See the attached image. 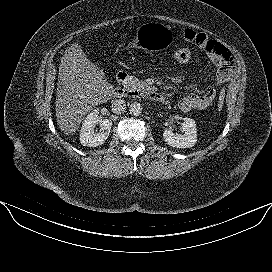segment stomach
Masks as SVG:
<instances>
[{
	"label": "stomach",
	"mask_w": 272,
	"mask_h": 272,
	"mask_svg": "<svg viewBox=\"0 0 272 272\" xmlns=\"http://www.w3.org/2000/svg\"><path fill=\"white\" fill-rule=\"evenodd\" d=\"M172 38L169 26L158 22H148L137 28L131 47L147 51H157L167 47L171 43Z\"/></svg>",
	"instance_id": "1"
}]
</instances>
